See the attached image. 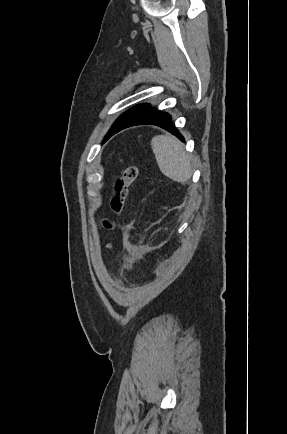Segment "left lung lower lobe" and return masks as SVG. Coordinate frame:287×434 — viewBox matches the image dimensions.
Here are the masks:
<instances>
[{
    "label": "left lung lower lobe",
    "instance_id": "1",
    "mask_svg": "<svg viewBox=\"0 0 287 434\" xmlns=\"http://www.w3.org/2000/svg\"><path fill=\"white\" fill-rule=\"evenodd\" d=\"M142 124H150V125H156L161 128H164L165 130L169 131L176 137H178L181 141H185L183 136L180 134V132L172 125L171 122V116L168 113L165 112H159L151 108L150 106L144 108L140 112L136 113L135 115L131 116L129 119H127L115 132H119L120 130L135 126V125H142ZM113 134V135H114Z\"/></svg>",
    "mask_w": 287,
    "mask_h": 434
}]
</instances>
